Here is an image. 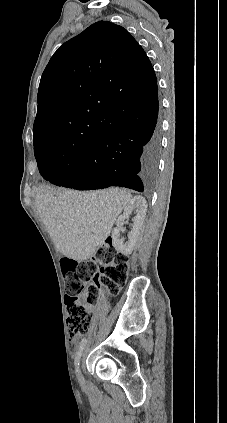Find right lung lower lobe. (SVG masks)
<instances>
[{
	"instance_id": "obj_1",
	"label": "right lung lower lobe",
	"mask_w": 227,
	"mask_h": 423,
	"mask_svg": "<svg viewBox=\"0 0 227 423\" xmlns=\"http://www.w3.org/2000/svg\"><path fill=\"white\" fill-rule=\"evenodd\" d=\"M157 89L146 100L116 104L108 114L126 124L102 133L84 158L60 170L48 164L38 166L52 184L77 190L119 186L149 191L156 180L161 147Z\"/></svg>"
}]
</instances>
